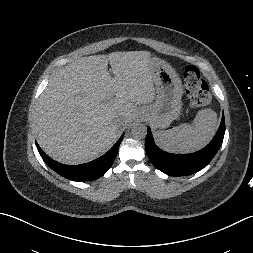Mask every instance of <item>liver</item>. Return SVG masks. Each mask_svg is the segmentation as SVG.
Returning a JSON list of instances; mask_svg holds the SVG:
<instances>
[{"label":"liver","mask_w":253,"mask_h":253,"mask_svg":"<svg viewBox=\"0 0 253 253\" xmlns=\"http://www.w3.org/2000/svg\"><path fill=\"white\" fill-rule=\"evenodd\" d=\"M154 99L149 52L83 57L51 75L33 112L34 132L40 147L54 160L86 163L112 146L137 105Z\"/></svg>","instance_id":"6515ba94"}]
</instances>
